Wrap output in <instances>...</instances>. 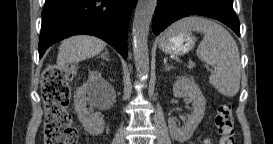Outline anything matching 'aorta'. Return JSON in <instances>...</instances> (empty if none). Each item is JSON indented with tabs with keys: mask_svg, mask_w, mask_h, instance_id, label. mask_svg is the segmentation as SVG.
<instances>
[{
	"mask_svg": "<svg viewBox=\"0 0 273 144\" xmlns=\"http://www.w3.org/2000/svg\"><path fill=\"white\" fill-rule=\"evenodd\" d=\"M157 5V0H138L134 14L132 36L133 56L139 77L144 78L149 71L148 32Z\"/></svg>",
	"mask_w": 273,
	"mask_h": 144,
	"instance_id": "aorta-1",
	"label": "aorta"
}]
</instances>
